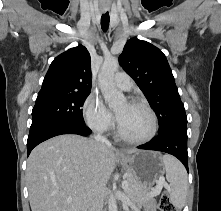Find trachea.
<instances>
[{
  "mask_svg": "<svg viewBox=\"0 0 221 211\" xmlns=\"http://www.w3.org/2000/svg\"><path fill=\"white\" fill-rule=\"evenodd\" d=\"M109 22H110L109 13L106 12V13L102 14V17H101V28H102V30L104 32H106L108 30Z\"/></svg>",
  "mask_w": 221,
  "mask_h": 211,
  "instance_id": "1",
  "label": "trachea"
}]
</instances>
